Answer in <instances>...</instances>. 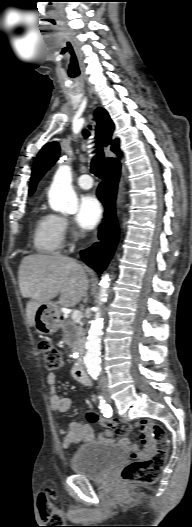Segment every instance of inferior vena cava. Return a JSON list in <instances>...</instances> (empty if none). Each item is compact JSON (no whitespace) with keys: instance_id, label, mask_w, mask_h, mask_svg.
<instances>
[{"instance_id":"inferior-vena-cava-1","label":"inferior vena cava","mask_w":192,"mask_h":527,"mask_svg":"<svg viewBox=\"0 0 192 527\" xmlns=\"http://www.w3.org/2000/svg\"><path fill=\"white\" fill-rule=\"evenodd\" d=\"M106 382H107V381H106L105 376H104L103 374H101V376H100V381H99L100 385H101V386H104V385H106Z\"/></svg>"}]
</instances>
